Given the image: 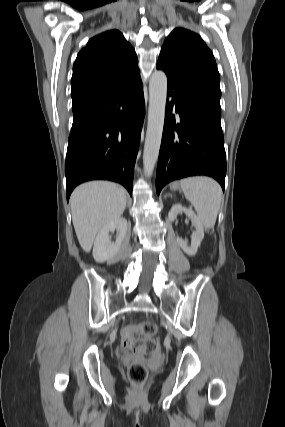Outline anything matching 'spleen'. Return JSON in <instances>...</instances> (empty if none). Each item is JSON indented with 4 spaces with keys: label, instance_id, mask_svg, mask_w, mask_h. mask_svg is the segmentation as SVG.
Returning a JSON list of instances; mask_svg holds the SVG:
<instances>
[{
    "label": "spleen",
    "instance_id": "obj_1",
    "mask_svg": "<svg viewBox=\"0 0 285 427\" xmlns=\"http://www.w3.org/2000/svg\"><path fill=\"white\" fill-rule=\"evenodd\" d=\"M185 198L194 206L198 218L206 228H213L220 209L222 190L212 178L194 176L180 181Z\"/></svg>",
    "mask_w": 285,
    "mask_h": 427
}]
</instances>
